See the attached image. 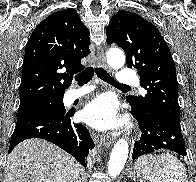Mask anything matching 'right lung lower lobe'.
<instances>
[{"instance_id":"right-lung-lower-lobe-1","label":"right lung lower lobe","mask_w":196,"mask_h":182,"mask_svg":"<svg viewBox=\"0 0 196 182\" xmlns=\"http://www.w3.org/2000/svg\"><path fill=\"white\" fill-rule=\"evenodd\" d=\"M74 113H39L17 120L8 152L25 139L41 138L70 153L86 167V157L94 143L85 126L72 122Z\"/></svg>"}]
</instances>
